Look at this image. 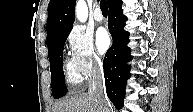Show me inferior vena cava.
I'll list each match as a JSON object with an SVG mask.
<instances>
[{"mask_svg": "<svg viewBox=\"0 0 193 112\" xmlns=\"http://www.w3.org/2000/svg\"><path fill=\"white\" fill-rule=\"evenodd\" d=\"M104 76L101 62H95L89 79V94L96 97L100 105V112H110L109 104L105 97Z\"/></svg>", "mask_w": 193, "mask_h": 112, "instance_id": "obj_1", "label": "inferior vena cava"}]
</instances>
